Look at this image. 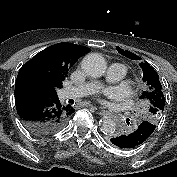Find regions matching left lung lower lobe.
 <instances>
[{"label": "left lung lower lobe", "mask_w": 177, "mask_h": 177, "mask_svg": "<svg viewBox=\"0 0 177 177\" xmlns=\"http://www.w3.org/2000/svg\"><path fill=\"white\" fill-rule=\"evenodd\" d=\"M155 130V124L142 121L132 132L114 136L110 141L122 149H132L144 143Z\"/></svg>", "instance_id": "left-lung-lower-lobe-1"}]
</instances>
